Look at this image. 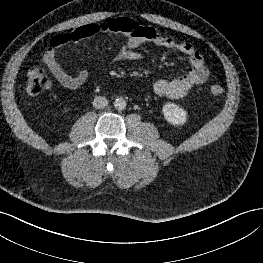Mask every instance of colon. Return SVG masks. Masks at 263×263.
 Masks as SVG:
<instances>
[{
	"label": "colon",
	"mask_w": 263,
	"mask_h": 263,
	"mask_svg": "<svg viewBox=\"0 0 263 263\" xmlns=\"http://www.w3.org/2000/svg\"><path fill=\"white\" fill-rule=\"evenodd\" d=\"M51 87V79L47 72L41 67H32L27 73V91L32 95L40 94ZM210 94L218 97L223 94L224 88L218 83L209 87Z\"/></svg>",
	"instance_id": "5ec220e1"
}]
</instances>
